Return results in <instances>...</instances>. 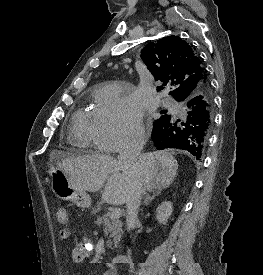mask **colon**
<instances>
[{
  "label": "colon",
  "instance_id": "colon-1",
  "mask_svg": "<svg viewBox=\"0 0 263 275\" xmlns=\"http://www.w3.org/2000/svg\"><path fill=\"white\" fill-rule=\"evenodd\" d=\"M56 219L60 224H66L69 220L68 210L65 207H59L56 211Z\"/></svg>",
  "mask_w": 263,
  "mask_h": 275
}]
</instances>
